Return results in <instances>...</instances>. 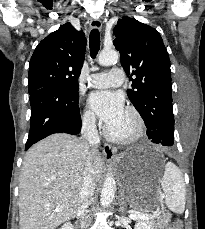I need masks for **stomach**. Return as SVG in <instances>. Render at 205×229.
I'll return each instance as SVG.
<instances>
[{
	"label": "stomach",
	"instance_id": "obj_1",
	"mask_svg": "<svg viewBox=\"0 0 205 229\" xmlns=\"http://www.w3.org/2000/svg\"><path fill=\"white\" fill-rule=\"evenodd\" d=\"M164 158L151 149H135L119 155L117 163L122 192L132 204L150 205L158 199L154 190L159 180Z\"/></svg>",
	"mask_w": 205,
	"mask_h": 229
}]
</instances>
